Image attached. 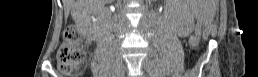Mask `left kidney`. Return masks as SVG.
I'll use <instances>...</instances> for the list:
<instances>
[{"mask_svg":"<svg viewBox=\"0 0 258 77\" xmlns=\"http://www.w3.org/2000/svg\"><path fill=\"white\" fill-rule=\"evenodd\" d=\"M184 19L189 22L190 21L189 14H187V15L184 14Z\"/></svg>","mask_w":258,"mask_h":77,"instance_id":"5707ae66","label":"left kidney"}]
</instances>
